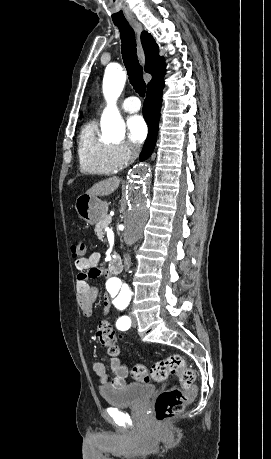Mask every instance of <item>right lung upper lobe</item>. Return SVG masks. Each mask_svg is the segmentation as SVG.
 <instances>
[{
  "label": "right lung upper lobe",
  "instance_id": "right-lung-upper-lobe-1",
  "mask_svg": "<svg viewBox=\"0 0 271 459\" xmlns=\"http://www.w3.org/2000/svg\"><path fill=\"white\" fill-rule=\"evenodd\" d=\"M141 42L145 52V72L152 74V80L148 85L165 74L164 58L159 56V47L151 34L143 31Z\"/></svg>",
  "mask_w": 271,
  "mask_h": 459
}]
</instances>
